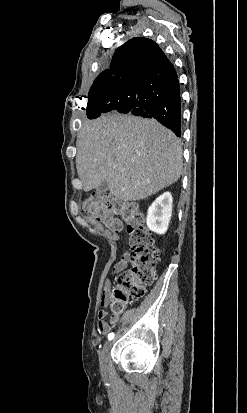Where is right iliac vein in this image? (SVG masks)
Here are the masks:
<instances>
[{
    "label": "right iliac vein",
    "instance_id": "1",
    "mask_svg": "<svg viewBox=\"0 0 247 413\" xmlns=\"http://www.w3.org/2000/svg\"><path fill=\"white\" fill-rule=\"evenodd\" d=\"M112 347V342H107L101 352L99 353V360H100V366L102 369H105L107 365V356Z\"/></svg>",
    "mask_w": 247,
    "mask_h": 413
}]
</instances>
